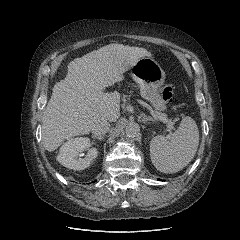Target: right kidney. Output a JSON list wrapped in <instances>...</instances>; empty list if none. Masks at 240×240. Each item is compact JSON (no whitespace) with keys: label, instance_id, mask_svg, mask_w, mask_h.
Wrapping results in <instances>:
<instances>
[{"label":"right kidney","instance_id":"ca27d5eb","mask_svg":"<svg viewBox=\"0 0 240 240\" xmlns=\"http://www.w3.org/2000/svg\"><path fill=\"white\" fill-rule=\"evenodd\" d=\"M88 150V154L84 158H77L79 152ZM98 150L91 147L90 139L87 137L72 138L65 142L57 156L58 162L73 170H84L88 168L92 161L97 157Z\"/></svg>","mask_w":240,"mask_h":240}]
</instances>
